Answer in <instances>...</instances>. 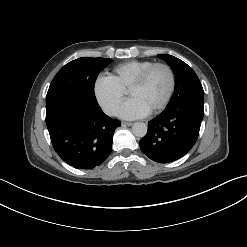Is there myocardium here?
Masks as SVG:
<instances>
[{"label": "myocardium", "instance_id": "f54148a6", "mask_svg": "<svg viewBox=\"0 0 247 247\" xmlns=\"http://www.w3.org/2000/svg\"><path fill=\"white\" fill-rule=\"evenodd\" d=\"M157 67H163L168 71V73L170 75V87H169L168 93H167L166 97L163 99V101L158 106H156L154 109L149 111V114H155L157 112H160L170 102V100H171V98L175 92V88H176V75H175L173 68L169 64L164 63V62L153 63L152 65L147 67L145 70H143L139 74V76L131 83V85L128 88V92H129L131 89L138 88V87L142 86L144 84V82L146 81L147 77L149 76V74Z\"/></svg>", "mask_w": 247, "mask_h": 247}]
</instances>
